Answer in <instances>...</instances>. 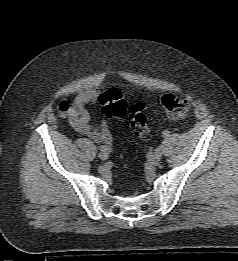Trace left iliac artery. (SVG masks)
<instances>
[{
  "mask_svg": "<svg viewBox=\"0 0 238 261\" xmlns=\"http://www.w3.org/2000/svg\"><path fill=\"white\" fill-rule=\"evenodd\" d=\"M169 134H170V132H169L168 130H165V131L163 132V136H164V137L169 136Z\"/></svg>",
  "mask_w": 238,
  "mask_h": 261,
  "instance_id": "left-iliac-artery-1",
  "label": "left iliac artery"
}]
</instances>
